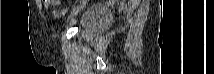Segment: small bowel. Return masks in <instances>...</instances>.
I'll use <instances>...</instances> for the list:
<instances>
[{"label": "small bowel", "instance_id": "1", "mask_svg": "<svg viewBox=\"0 0 214 74\" xmlns=\"http://www.w3.org/2000/svg\"><path fill=\"white\" fill-rule=\"evenodd\" d=\"M54 3L52 1H44L43 2L45 8H50L51 6L55 5ZM53 15L55 17H65L66 16V10L54 11Z\"/></svg>", "mask_w": 214, "mask_h": 74}]
</instances>
